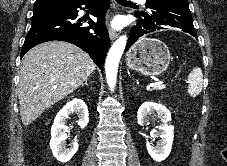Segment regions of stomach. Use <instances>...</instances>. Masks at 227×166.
<instances>
[{"label":"stomach","mask_w":227,"mask_h":166,"mask_svg":"<svg viewBox=\"0 0 227 166\" xmlns=\"http://www.w3.org/2000/svg\"><path fill=\"white\" fill-rule=\"evenodd\" d=\"M127 66L147 76L163 73L170 63V51L160 40L143 37L127 52Z\"/></svg>","instance_id":"stomach-1"}]
</instances>
